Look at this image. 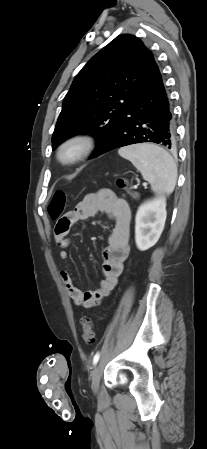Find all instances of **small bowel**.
<instances>
[{
    "mask_svg": "<svg viewBox=\"0 0 207 449\" xmlns=\"http://www.w3.org/2000/svg\"><path fill=\"white\" fill-rule=\"evenodd\" d=\"M104 213L113 221L114 226L108 237L102 265L103 279L97 289L83 292L77 288L69 273L61 271V278L67 294L77 306L90 308L108 297L116 287L123 272L124 262L130 253L131 210L123 198L108 189L86 195L76 207L66 213L55 226V239L61 250L59 257L67 260L69 255L68 234L78 222Z\"/></svg>",
    "mask_w": 207,
    "mask_h": 449,
    "instance_id": "small-bowel-1",
    "label": "small bowel"
}]
</instances>
